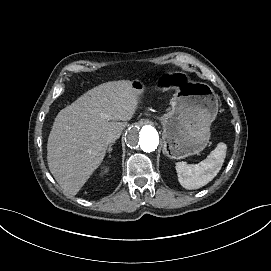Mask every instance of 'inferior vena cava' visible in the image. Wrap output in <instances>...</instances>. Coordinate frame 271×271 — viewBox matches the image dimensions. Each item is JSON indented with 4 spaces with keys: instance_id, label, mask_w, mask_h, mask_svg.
<instances>
[{
    "instance_id": "1",
    "label": "inferior vena cava",
    "mask_w": 271,
    "mask_h": 271,
    "mask_svg": "<svg viewBox=\"0 0 271 271\" xmlns=\"http://www.w3.org/2000/svg\"><path fill=\"white\" fill-rule=\"evenodd\" d=\"M119 136H120V132H116V133H114V134H111V135L109 136V142L115 141L116 139L119 138Z\"/></svg>"
}]
</instances>
